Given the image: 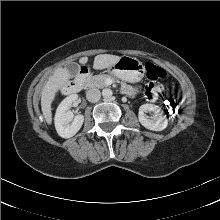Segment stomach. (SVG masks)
<instances>
[{"mask_svg":"<svg viewBox=\"0 0 220 220\" xmlns=\"http://www.w3.org/2000/svg\"><path fill=\"white\" fill-rule=\"evenodd\" d=\"M108 71L124 81L136 83L144 77L145 67L137 58L122 56L114 65L109 67Z\"/></svg>","mask_w":220,"mask_h":220,"instance_id":"stomach-1","label":"stomach"}]
</instances>
